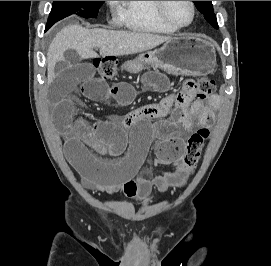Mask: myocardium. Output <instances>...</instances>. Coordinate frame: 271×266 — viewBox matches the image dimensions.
<instances>
[{"instance_id":"myocardium-1","label":"myocardium","mask_w":271,"mask_h":266,"mask_svg":"<svg viewBox=\"0 0 271 266\" xmlns=\"http://www.w3.org/2000/svg\"><path fill=\"white\" fill-rule=\"evenodd\" d=\"M188 3L190 4L191 6V10H192V15H191V19L190 21L185 24V25H180V24H177L176 22H174L168 15L167 13V10H166V4H167V1H156V8H157V12L159 14V16L168 24L170 25L171 27H173L174 29L176 30H179V29H185L189 26L192 25V23L194 22L195 20V17H196V5L194 3V1H188Z\"/></svg>"}]
</instances>
